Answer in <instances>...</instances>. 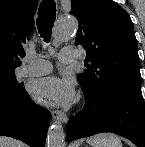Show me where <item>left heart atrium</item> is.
I'll return each instance as SVG.
<instances>
[{"label":"left heart atrium","instance_id":"left-heart-atrium-1","mask_svg":"<svg viewBox=\"0 0 145 147\" xmlns=\"http://www.w3.org/2000/svg\"><path fill=\"white\" fill-rule=\"evenodd\" d=\"M32 96L50 106L66 105L74 96V86L71 80L47 77L35 82Z\"/></svg>","mask_w":145,"mask_h":147}]
</instances>
